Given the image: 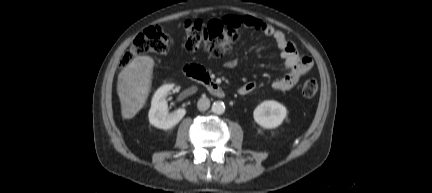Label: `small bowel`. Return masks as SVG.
I'll list each match as a JSON object with an SVG mask.
<instances>
[{
  "instance_id": "c3829d8e",
  "label": "small bowel",
  "mask_w": 432,
  "mask_h": 193,
  "mask_svg": "<svg viewBox=\"0 0 432 193\" xmlns=\"http://www.w3.org/2000/svg\"><path fill=\"white\" fill-rule=\"evenodd\" d=\"M224 22L237 28H246L254 32L262 33L273 39L279 50V56L282 59V67L286 73L272 83L273 89L277 91H288L292 89L310 69L313 67V61L310 57L301 55L296 46L290 42L285 34L273 27L272 25L256 19L252 16H228ZM238 65V59L233 58L224 62L223 66L232 69ZM255 82L249 81L244 83L238 89V94L248 95L255 91Z\"/></svg>"
}]
</instances>
